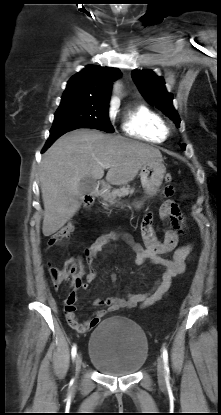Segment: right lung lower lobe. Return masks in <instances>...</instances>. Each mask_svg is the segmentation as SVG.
<instances>
[{
  "instance_id": "obj_1",
  "label": "right lung lower lobe",
  "mask_w": 221,
  "mask_h": 415,
  "mask_svg": "<svg viewBox=\"0 0 221 415\" xmlns=\"http://www.w3.org/2000/svg\"><path fill=\"white\" fill-rule=\"evenodd\" d=\"M64 133H56V134H50L49 139L47 140L42 152H44L57 138H59Z\"/></svg>"
}]
</instances>
